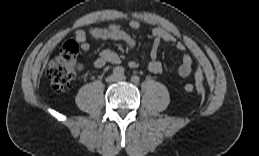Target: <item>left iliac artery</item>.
Here are the masks:
<instances>
[{"mask_svg":"<svg viewBox=\"0 0 259 156\" xmlns=\"http://www.w3.org/2000/svg\"><path fill=\"white\" fill-rule=\"evenodd\" d=\"M131 80H132L134 83H138L139 80H140V78H139V76L134 75V76H132Z\"/></svg>","mask_w":259,"mask_h":156,"instance_id":"obj_1","label":"left iliac artery"}]
</instances>
